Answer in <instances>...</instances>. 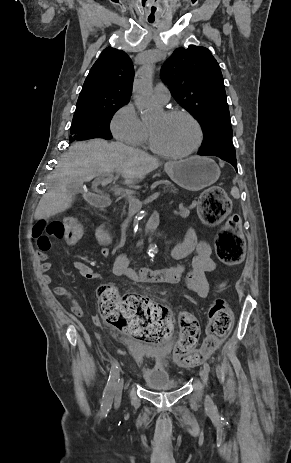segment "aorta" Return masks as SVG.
Segmentation results:
<instances>
[{"label":"aorta","instance_id":"762f6f07","mask_svg":"<svg viewBox=\"0 0 291 463\" xmlns=\"http://www.w3.org/2000/svg\"><path fill=\"white\" fill-rule=\"evenodd\" d=\"M154 73L153 62L146 63L143 65L134 80L133 83V98L134 103L141 114L142 118H146L151 115L153 111V100H152V81ZM157 251V247L152 245L149 253L153 257Z\"/></svg>","mask_w":291,"mask_h":463}]
</instances>
